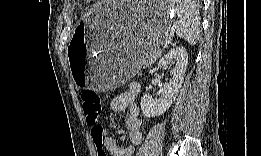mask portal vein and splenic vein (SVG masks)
I'll use <instances>...</instances> for the list:
<instances>
[{
  "label": "portal vein and splenic vein",
  "mask_w": 261,
  "mask_h": 156,
  "mask_svg": "<svg viewBox=\"0 0 261 156\" xmlns=\"http://www.w3.org/2000/svg\"><path fill=\"white\" fill-rule=\"evenodd\" d=\"M172 32H173V31H171V33H172ZM168 43H169V41L166 39V40L164 41V46H167Z\"/></svg>",
  "instance_id": "portal-vein-and-splenic-vein-1"
}]
</instances>
